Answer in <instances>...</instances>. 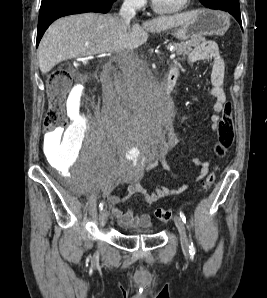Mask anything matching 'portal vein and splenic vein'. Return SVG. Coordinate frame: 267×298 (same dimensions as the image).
<instances>
[{
  "instance_id": "18ae733b",
  "label": "portal vein and splenic vein",
  "mask_w": 267,
  "mask_h": 298,
  "mask_svg": "<svg viewBox=\"0 0 267 298\" xmlns=\"http://www.w3.org/2000/svg\"><path fill=\"white\" fill-rule=\"evenodd\" d=\"M174 57H175L174 53L170 55V59H173Z\"/></svg>"
}]
</instances>
